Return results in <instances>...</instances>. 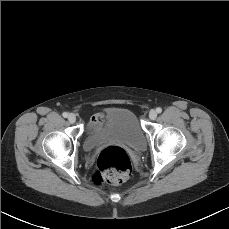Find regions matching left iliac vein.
Instances as JSON below:
<instances>
[{
  "instance_id": "obj_1",
  "label": "left iliac vein",
  "mask_w": 229,
  "mask_h": 229,
  "mask_svg": "<svg viewBox=\"0 0 229 229\" xmlns=\"http://www.w3.org/2000/svg\"><path fill=\"white\" fill-rule=\"evenodd\" d=\"M157 117V112L155 110H150L149 112V118L151 120H154Z\"/></svg>"
}]
</instances>
